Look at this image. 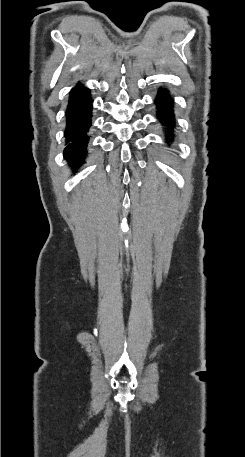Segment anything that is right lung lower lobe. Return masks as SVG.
<instances>
[{"label": "right lung lower lobe", "instance_id": "98d812e1", "mask_svg": "<svg viewBox=\"0 0 245 457\" xmlns=\"http://www.w3.org/2000/svg\"><path fill=\"white\" fill-rule=\"evenodd\" d=\"M92 102L90 90L80 82L71 91L66 110L64 158L74 167V172L84 163L88 148V131L91 126Z\"/></svg>", "mask_w": 245, "mask_h": 457}]
</instances>
